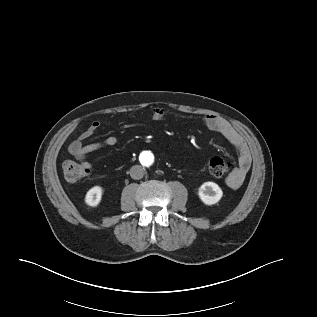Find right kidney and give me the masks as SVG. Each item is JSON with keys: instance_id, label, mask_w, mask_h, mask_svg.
I'll list each match as a JSON object with an SVG mask.
<instances>
[{"instance_id": "right-kidney-1", "label": "right kidney", "mask_w": 317, "mask_h": 317, "mask_svg": "<svg viewBox=\"0 0 317 317\" xmlns=\"http://www.w3.org/2000/svg\"><path fill=\"white\" fill-rule=\"evenodd\" d=\"M102 197V188L100 186L92 187L85 196V202L89 206H97Z\"/></svg>"}]
</instances>
